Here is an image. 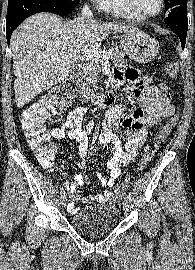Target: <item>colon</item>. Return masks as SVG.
Wrapping results in <instances>:
<instances>
[{"label":"colon","mask_w":195,"mask_h":270,"mask_svg":"<svg viewBox=\"0 0 195 270\" xmlns=\"http://www.w3.org/2000/svg\"><path fill=\"white\" fill-rule=\"evenodd\" d=\"M165 70L171 78L178 76V67L174 62H167ZM78 87V82L69 79L63 84L54 87L38 102L22 111L20 124L30 146L36 150L41 164L50 167L54 161L56 151L46 145L49 141L48 133L43 128V122L51 115L60 114L71 103ZM178 122V115L172 116L164 128L154 139L150 148L142 156L138 165V171L142 172L152 157L155 149L159 148L172 133ZM126 190L125 184L116 186L114 194L119 197Z\"/></svg>","instance_id":"1"}]
</instances>
